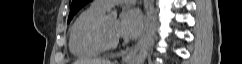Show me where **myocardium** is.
Segmentation results:
<instances>
[{
	"label": "myocardium",
	"mask_w": 242,
	"mask_h": 64,
	"mask_svg": "<svg viewBox=\"0 0 242 64\" xmlns=\"http://www.w3.org/2000/svg\"><path fill=\"white\" fill-rule=\"evenodd\" d=\"M105 15L92 21L85 30L86 40L100 51H107L118 44L116 36L108 38L104 30Z\"/></svg>",
	"instance_id": "1"
}]
</instances>
